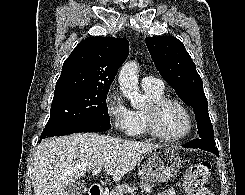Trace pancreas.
Returning a JSON list of instances; mask_svg holds the SVG:
<instances>
[{
	"mask_svg": "<svg viewBox=\"0 0 245 195\" xmlns=\"http://www.w3.org/2000/svg\"><path fill=\"white\" fill-rule=\"evenodd\" d=\"M128 187L129 184H122L121 186L114 188L110 192L105 193V195H126ZM140 187L143 188L146 192H150L153 188V185L147 182H142L140 184ZM142 195H143V191H142Z\"/></svg>",
	"mask_w": 245,
	"mask_h": 195,
	"instance_id": "cf45deb5",
	"label": "pancreas"
}]
</instances>
